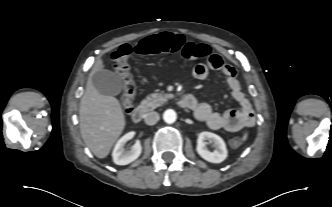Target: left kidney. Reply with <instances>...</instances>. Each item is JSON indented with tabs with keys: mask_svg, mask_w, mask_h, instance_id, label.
I'll return each mask as SVG.
<instances>
[{
	"mask_svg": "<svg viewBox=\"0 0 332 207\" xmlns=\"http://www.w3.org/2000/svg\"><path fill=\"white\" fill-rule=\"evenodd\" d=\"M205 140L214 142L216 149L209 151L206 148ZM197 153L206 161L211 163H221L227 158V149L223 139L211 132H202L197 139Z\"/></svg>",
	"mask_w": 332,
	"mask_h": 207,
	"instance_id": "obj_1",
	"label": "left kidney"
}]
</instances>
